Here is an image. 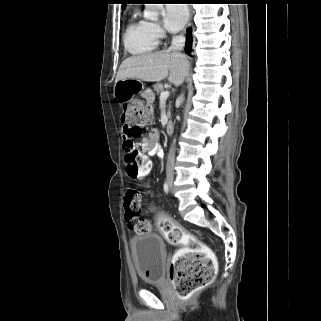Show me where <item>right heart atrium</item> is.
Returning a JSON list of instances; mask_svg holds the SVG:
<instances>
[{
	"label": "right heart atrium",
	"mask_w": 321,
	"mask_h": 321,
	"mask_svg": "<svg viewBox=\"0 0 321 321\" xmlns=\"http://www.w3.org/2000/svg\"><path fill=\"white\" fill-rule=\"evenodd\" d=\"M149 28L151 32L159 39L164 36V31L160 24L155 23V22H149Z\"/></svg>",
	"instance_id": "1"
}]
</instances>
